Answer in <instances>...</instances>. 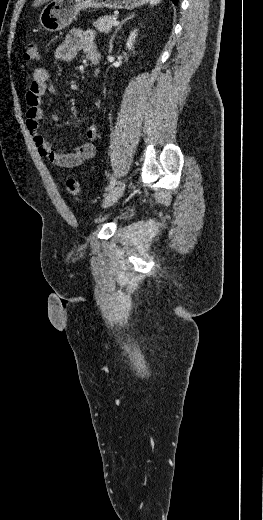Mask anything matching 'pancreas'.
<instances>
[{"label": "pancreas", "instance_id": "obj_1", "mask_svg": "<svg viewBox=\"0 0 263 520\" xmlns=\"http://www.w3.org/2000/svg\"><path fill=\"white\" fill-rule=\"evenodd\" d=\"M116 19V15H104L97 19L93 25L98 31L108 33L113 27L112 22Z\"/></svg>", "mask_w": 263, "mask_h": 520}]
</instances>
